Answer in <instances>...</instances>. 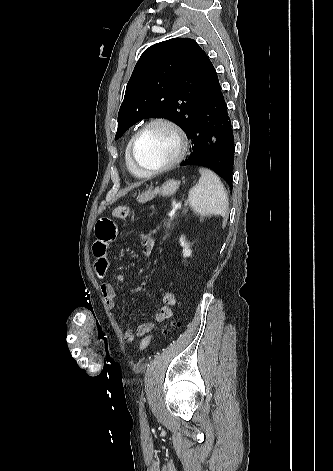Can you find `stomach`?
I'll list each match as a JSON object with an SVG mask.
<instances>
[{
    "label": "stomach",
    "mask_w": 333,
    "mask_h": 471,
    "mask_svg": "<svg viewBox=\"0 0 333 471\" xmlns=\"http://www.w3.org/2000/svg\"><path fill=\"white\" fill-rule=\"evenodd\" d=\"M180 182L173 179L167 180L161 187L155 189L149 188L137 196L139 203H146L152 200L155 196H171L179 188Z\"/></svg>",
    "instance_id": "0dacf381"
}]
</instances>
